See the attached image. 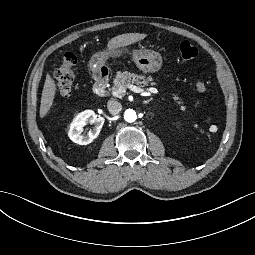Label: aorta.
<instances>
[{"label": "aorta", "instance_id": "obj_1", "mask_svg": "<svg viewBox=\"0 0 255 255\" xmlns=\"http://www.w3.org/2000/svg\"><path fill=\"white\" fill-rule=\"evenodd\" d=\"M124 119L127 122H134L137 119L136 112L133 109H127L124 113Z\"/></svg>", "mask_w": 255, "mask_h": 255}]
</instances>
